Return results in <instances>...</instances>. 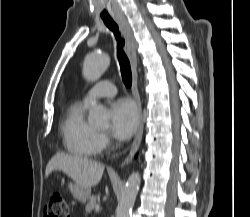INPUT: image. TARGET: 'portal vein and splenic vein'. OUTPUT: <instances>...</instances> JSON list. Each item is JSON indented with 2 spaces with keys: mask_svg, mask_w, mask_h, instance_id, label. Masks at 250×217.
I'll list each match as a JSON object with an SVG mask.
<instances>
[{
  "mask_svg": "<svg viewBox=\"0 0 250 217\" xmlns=\"http://www.w3.org/2000/svg\"><path fill=\"white\" fill-rule=\"evenodd\" d=\"M95 209H96V211H99L100 206L97 204V205L95 206Z\"/></svg>",
  "mask_w": 250,
  "mask_h": 217,
  "instance_id": "18ae733b",
  "label": "portal vein and splenic vein"
}]
</instances>
